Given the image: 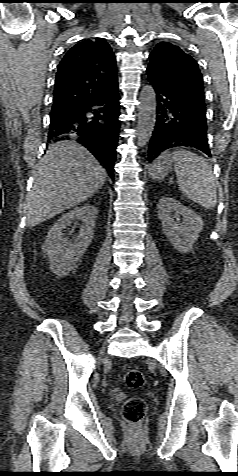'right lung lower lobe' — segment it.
<instances>
[{"label": "right lung lower lobe", "mask_w": 238, "mask_h": 476, "mask_svg": "<svg viewBox=\"0 0 238 476\" xmlns=\"http://www.w3.org/2000/svg\"><path fill=\"white\" fill-rule=\"evenodd\" d=\"M118 85L59 122H50L49 139L68 135L86 147L113 178L119 136Z\"/></svg>", "instance_id": "98d812e1"}]
</instances>
